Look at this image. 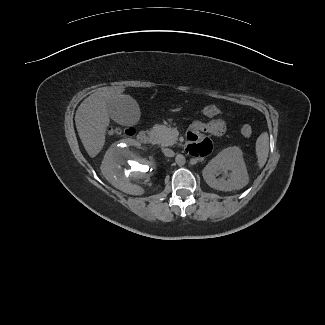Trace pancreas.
I'll list each match as a JSON object with an SVG mask.
<instances>
[{"label": "pancreas", "instance_id": "obj_1", "mask_svg": "<svg viewBox=\"0 0 325 325\" xmlns=\"http://www.w3.org/2000/svg\"><path fill=\"white\" fill-rule=\"evenodd\" d=\"M152 133L155 136V143L161 146H172L177 140V137L173 135L172 128L165 125H155L152 128Z\"/></svg>", "mask_w": 325, "mask_h": 325}]
</instances>
